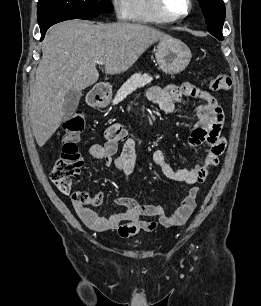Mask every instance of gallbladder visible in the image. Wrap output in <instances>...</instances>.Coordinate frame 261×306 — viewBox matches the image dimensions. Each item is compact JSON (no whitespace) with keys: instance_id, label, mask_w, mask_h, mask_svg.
<instances>
[{"instance_id":"1","label":"gallbladder","mask_w":261,"mask_h":306,"mask_svg":"<svg viewBox=\"0 0 261 306\" xmlns=\"http://www.w3.org/2000/svg\"><path fill=\"white\" fill-rule=\"evenodd\" d=\"M82 92L79 90H70L64 97L63 119H69L78 107Z\"/></svg>"}]
</instances>
